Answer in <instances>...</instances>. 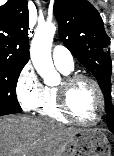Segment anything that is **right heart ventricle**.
Returning a JSON list of instances; mask_svg holds the SVG:
<instances>
[{
  "label": "right heart ventricle",
  "instance_id": "right-heart-ventricle-1",
  "mask_svg": "<svg viewBox=\"0 0 114 156\" xmlns=\"http://www.w3.org/2000/svg\"><path fill=\"white\" fill-rule=\"evenodd\" d=\"M64 75H69L72 70L57 67ZM35 111L42 117L50 118L62 123L69 120L62 114L58 104V88L54 86H44L42 100L38 103Z\"/></svg>",
  "mask_w": 114,
  "mask_h": 156
}]
</instances>
